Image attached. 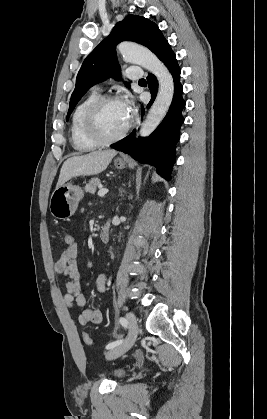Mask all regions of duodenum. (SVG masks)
I'll return each mask as SVG.
<instances>
[{
    "instance_id": "410a0bca",
    "label": "duodenum",
    "mask_w": 267,
    "mask_h": 419,
    "mask_svg": "<svg viewBox=\"0 0 267 419\" xmlns=\"http://www.w3.org/2000/svg\"><path fill=\"white\" fill-rule=\"evenodd\" d=\"M98 236H99L100 241L103 243H107L109 241V238H110V224L109 223H105L104 225L101 226Z\"/></svg>"
}]
</instances>
